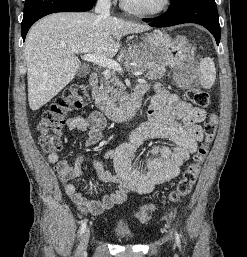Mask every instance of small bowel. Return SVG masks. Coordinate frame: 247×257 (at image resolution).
Wrapping results in <instances>:
<instances>
[{"label":"small bowel","mask_w":247,"mask_h":257,"mask_svg":"<svg viewBox=\"0 0 247 257\" xmlns=\"http://www.w3.org/2000/svg\"><path fill=\"white\" fill-rule=\"evenodd\" d=\"M146 87L148 90L149 86ZM154 89L156 94L148 110V120L135 129L126 142L104 155L112 163L114 172L91 156H81L71 166L60 158L58 151L48 155V162L54 165L65 193L82 211L99 215L123 203L130 193L145 195L152 192L156 185L177 177L180 167L196 151L198 142L203 139L200 123L205 119V110L192 106L160 85H155ZM66 124L70 131H88L84 145L92 147L100 142L106 121L100 113L92 112L87 116L71 117ZM148 139L170 140L174 146L162 144L152 147L145 156V171L141 173L134 166L132 155ZM86 163L93 165L99 181L116 184V190L100 200H88L78 192L71 181L76 177L91 176L83 170Z\"/></svg>","instance_id":"c3829d8e"}]
</instances>
